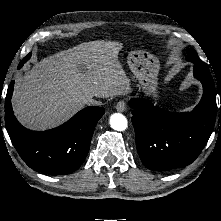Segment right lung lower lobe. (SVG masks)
<instances>
[{
  "label": "right lung lower lobe",
  "mask_w": 221,
  "mask_h": 221,
  "mask_svg": "<svg viewBox=\"0 0 221 221\" xmlns=\"http://www.w3.org/2000/svg\"><path fill=\"white\" fill-rule=\"evenodd\" d=\"M13 86L14 81L5 99V126L21 158L33 170L53 176L74 172L85 160L104 108L87 107L55 129L34 132L24 128L14 116L10 102Z\"/></svg>",
  "instance_id": "98d812e1"
}]
</instances>
